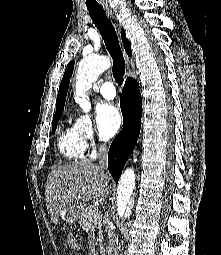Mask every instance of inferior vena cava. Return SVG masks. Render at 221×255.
<instances>
[{
	"label": "inferior vena cava",
	"instance_id": "1",
	"mask_svg": "<svg viewBox=\"0 0 221 255\" xmlns=\"http://www.w3.org/2000/svg\"><path fill=\"white\" fill-rule=\"evenodd\" d=\"M99 167L101 169L107 168V161H108V149L105 145L100 146L99 153ZM107 236H108V246H107V252L108 255H122V249L119 242V236L111 231L109 228H107Z\"/></svg>",
	"mask_w": 221,
	"mask_h": 255
}]
</instances>
